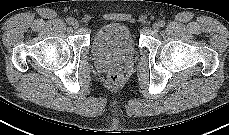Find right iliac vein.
I'll return each instance as SVG.
<instances>
[{
  "instance_id": "1",
  "label": "right iliac vein",
  "mask_w": 229,
  "mask_h": 135,
  "mask_svg": "<svg viewBox=\"0 0 229 135\" xmlns=\"http://www.w3.org/2000/svg\"><path fill=\"white\" fill-rule=\"evenodd\" d=\"M72 26L74 28H78L79 27V22L78 21H73Z\"/></svg>"
}]
</instances>
